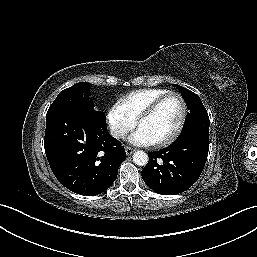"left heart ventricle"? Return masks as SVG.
<instances>
[{
  "label": "left heart ventricle",
  "instance_id": "left-heart-ventricle-1",
  "mask_svg": "<svg viewBox=\"0 0 257 257\" xmlns=\"http://www.w3.org/2000/svg\"><path fill=\"white\" fill-rule=\"evenodd\" d=\"M181 115V102L176 96H172L152 116L143 120L139 128L143 129L154 142H158L175 131Z\"/></svg>",
  "mask_w": 257,
  "mask_h": 257
}]
</instances>
